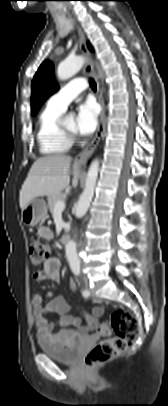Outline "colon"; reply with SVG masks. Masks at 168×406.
Segmentation results:
<instances>
[{
	"mask_svg": "<svg viewBox=\"0 0 168 406\" xmlns=\"http://www.w3.org/2000/svg\"><path fill=\"white\" fill-rule=\"evenodd\" d=\"M28 252L31 263L38 266L49 258L50 248L42 242L32 241ZM99 331L104 335L112 331L114 336L97 343L87 353L85 364L88 367L98 366L122 354L137 338L139 323L133 312L117 309L108 321L102 323Z\"/></svg>",
	"mask_w": 168,
	"mask_h": 406,
	"instance_id": "obj_1",
	"label": "colon"
}]
</instances>
